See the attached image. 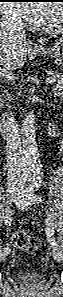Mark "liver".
Wrapping results in <instances>:
<instances>
[{
  "mask_svg": "<svg viewBox=\"0 0 63 297\" xmlns=\"http://www.w3.org/2000/svg\"><path fill=\"white\" fill-rule=\"evenodd\" d=\"M29 52L26 38L18 37L9 31L0 32V75H11L12 71L23 67Z\"/></svg>",
  "mask_w": 63,
  "mask_h": 297,
  "instance_id": "6515ba94",
  "label": "liver"
}]
</instances>
